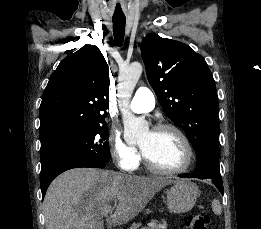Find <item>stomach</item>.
Masks as SVG:
<instances>
[{"mask_svg":"<svg viewBox=\"0 0 261 229\" xmlns=\"http://www.w3.org/2000/svg\"><path fill=\"white\" fill-rule=\"evenodd\" d=\"M167 205L171 213H187L193 209L198 197L199 189L191 181H174L172 187L166 191Z\"/></svg>","mask_w":261,"mask_h":229,"instance_id":"obj_1","label":"stomach"}]
</instances>
